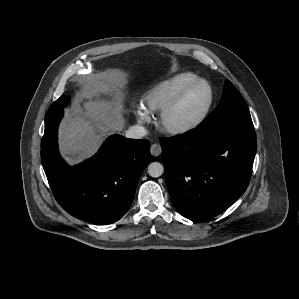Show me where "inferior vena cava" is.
Masks as SVG:
<instances>
[{"mask_svg":"<svg viewBox=\"0 0 299 299\" xmlns=\"http://www.w3.org/2000/svg\"><path fill=\"white\" fill-rule=\"evenodd\" d=\"M147 134L146 129L143 126L135 125L126 131V137L131 139H141Z\"/></svg>","mask_w":299,"mask_h":299,"instance_id":"602c4592","label":"inferior vena cava"}]
</instances>
